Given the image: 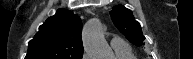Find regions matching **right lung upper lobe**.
<instances>
[{"label":"right lung upper lobe","instance_id":"1","mask_svg":"<svg viewBox=\"0 0 193 59\" xmlns=\"http://www.w3.org/2000/svg\"><path fill=\"white\" fill-rule=\"evenodd\" d=\"M81 19L66 9L57 10L39 27L28 44L25 59H82Z\"/></svg>","mask_w":193,"mask_h":59}]
</instances>
